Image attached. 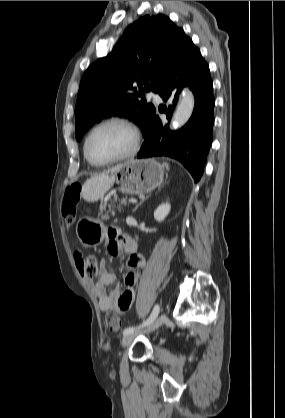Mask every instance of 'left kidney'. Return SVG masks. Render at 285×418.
<instances>
[{
  "mask_svg": "<svg viewBox=\"0 0 285 418\" xmlns=\"http://www.w3.org/2000/svg\"><path fill=\"white\" fill-rule=\"evenodd\" d=\"M171 209L170 203H163L157 207V209L154 211V218L156 221H163L167 215L169 214Z\"/></svg>",
  "mask_w": 285,
  "mask_h": 418,
  "instance_id": "obj_1",
  "label": "left kidney"
}]
</instances>
